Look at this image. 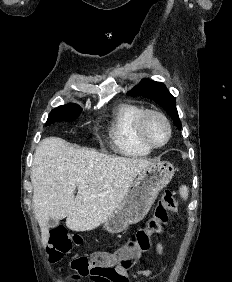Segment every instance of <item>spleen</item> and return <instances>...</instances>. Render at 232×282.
I'll list each match as a JSON object with an SVG mask.
<instances>
[{
	"label": "spleen",
	"instance_id": "1",
	"mask_svg": "<svg viewBox=\"0 0 232 282\" xmlns=\"http://www.w3.org/2000/svg\"><path fill=\"white\" fill-rule=\"evenodd\" d=\"M179 191H180V196H181L184 200H186V199L188 198V192H189L188 187H186V186H181Z\"/></svg>",
	"mask_w": 232,
	"mask_h": 282
}]
</instances>
